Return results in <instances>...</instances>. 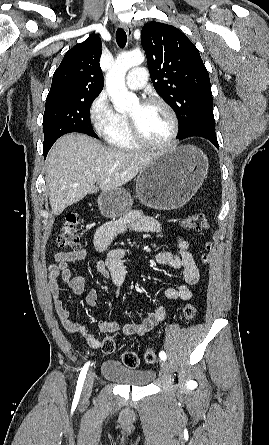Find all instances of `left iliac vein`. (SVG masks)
<instances>
[{
    "label": "left iliac vein",
    "instance_id": "obj_1",
    "mask_svg": "<svg viewBox=\"0 0 269 445\" xmlns=\"http://www.w3.org/2000/svg\"><path fill=\"white\" fill-rule=\"evenodd\" d=\"M160 369H161V371H162L164 374H166V373L168 372L169 366H168V363H167L165 360H162V361L160 362Z\"/></svg>",
    "mask_w": 269,
    "mask_h": 445
}]
</instances>
